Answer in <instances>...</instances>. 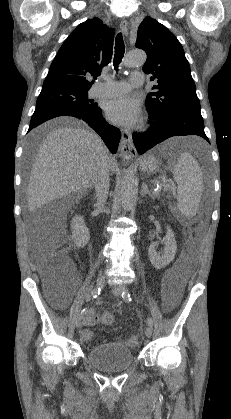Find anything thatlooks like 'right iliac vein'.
I'll return each mask as SVG.
<instances>
[{"instance_id": "1", "label": "right iliac vein", "mask_w": 231, "mask_h": 419, "mask_svg": "<svg viewBox=\"0 0 231 419\" xmlns=\"http://www.w3.org/2000/svg\"><path fill=\"white\" fill-rule=\"evenodd\" d=\"M104 283H105V276H99L98 277V279H97V281H96V286L97 287H102L103 285H104ZM83 315L81 314V315H78L77 317H76V319H75V327H80L81 326V323H82V320H83Z\"/></svg>"}]
</instances>
